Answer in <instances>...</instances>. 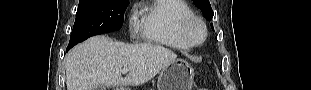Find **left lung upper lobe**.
<instances>
[{
	"mask_svg": "<svg viewBox=\"0 0 311 90\" xmlns=\"http://www.w3.org/2000/svg\"><path fill=\"white\" fill-rule=\"evenodd\" d=\"M195 5L202 10L204 17L211 20L213 17V11L208 0H193ZM213 28V26L211 25Z\"/></svg>",
	"mask_w": 311,
	"mask_h": 90,
	"instance_id": "obj_1",
	"label": "left lung upper lobe"
}]
</instances>
